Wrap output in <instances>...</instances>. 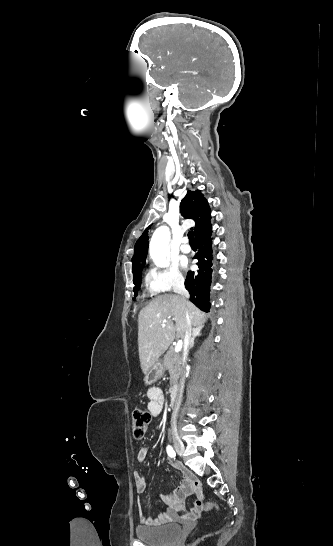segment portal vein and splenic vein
I'll use <instances>...</instances> for the list:
<instances>
[{"label":"portal vein and splenic vein","instance_id":"1","mask_svg":"<svg viewBox=\"0 0 333 546\" xmlns=\"http://www.w3.org/2000/svg\"><path fill=\"white\" fill-rule=\"evenodd\" d=\"M182 347H183V342H182V340H179L177 342V344L175 345V348H174L175 353H179L181 351Z\"/></svg>","mask_w":333,"mask_h":546}]
</instances>
